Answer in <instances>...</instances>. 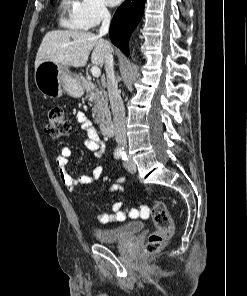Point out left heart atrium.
Listing matches in <instances>:
<instances>
[{"label":"left heart atrium","instance_id":"left-heart-atrium-1","mask_svg":"<svg viewBox=\"0 0 247 296\" xmlns=\"http://www.w3.org/2000/svg\"><path fill=\"white\" fill-rule=\"evenodd\" d=\"M111 6L118 5L122 0H107Z\"/></svg>","mask_w":247,"mask_h":296}]
</instances>
